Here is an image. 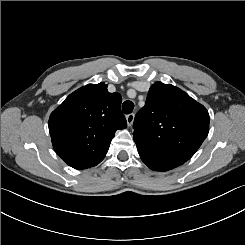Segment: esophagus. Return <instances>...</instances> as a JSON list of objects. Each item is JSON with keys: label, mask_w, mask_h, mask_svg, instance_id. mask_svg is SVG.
I'll list each match as a JSON object with an SVG mask.
<instances>
[{"label": "esophagus", "mask_w": 245, "mask_h": 245, "mask_svg": "<svg viewBox=\"0 0 245 245\" xmlns=\"http://www.w3.org/2000/svg\"><path fill=\"white\" fill-rule=\"evenodd\" d=\"M126 120H127V125L128 126H132L133 121H134V113H130L126 116Z\"/></svg>", "instance_id": "esophagus-1"}]
</instances>
